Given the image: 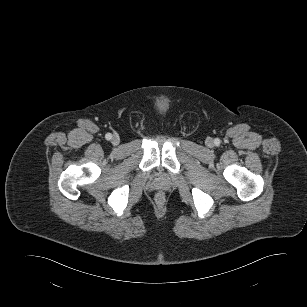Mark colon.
<instances>
[{
	"label": "colon",
	"mask_w": 307,
	"mask_h": 307,
	"mask_svg": "<svg viewBox=\"0 0 307 307\" xmlns=\"http://www.w3.org/2000/svg\"><path fill=\"white\" fill-rule=\"evenodd\" d=\"M164 198V196L162 195V194H158V199H163Z\"/></svg>",
	"instance_id": "1"
}]
</instances>
